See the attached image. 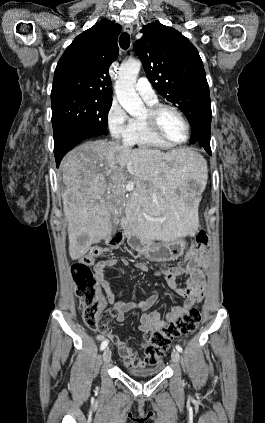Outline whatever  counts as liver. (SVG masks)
Here are the masks:
<instances>
[{"instance_id":"obj_1","label":"liver","mask_w":265,"mask_h":423,"mask_svg":"<svg viewBox=\"0 0 265 423\" xmlns=\"http://www.w3.org/2000/svg\"><path fill=\"white\" fill-rule=\"evenodd\" d=\"M61 171L73 260L112 233V216L125 212L132 222L134 208L139 213L134 229L142 240L171 241L192 236L198 229L197 204L185 187L191 180L204 185L207 165L189 148L164 153L107 140L88 141L64 157ZM126 182L135 186L129 194Z\"/></svg>"}]
</instances>
